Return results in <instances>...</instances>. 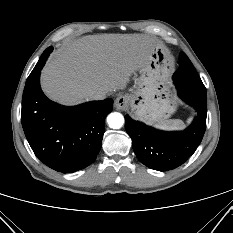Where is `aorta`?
Segmentation results:
<instances>
[{
  "instance_id": "762f6f07",
  "label": "aorta",
  "mask_w": 233,
  "mask_h": 233,
  "mask_svg": "<svg viewBox=\"0 0 233 233\" xmlns=\"http://www.w3.org/2000/svg\"><path fill=\"white\" fill-rule=\"evenodd\" d=\"M107 122L110 128L119 129L124 124V117L121 113L113 112L108 115Z\"/></svg>"
}]
</instances>
